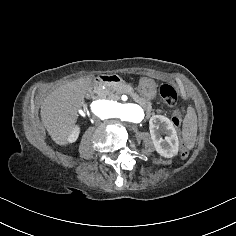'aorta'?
Returning <instances> with one entry per match:
<instances>
[{
    "label": "aorta",
    "instance_id": "1",
    "mask_svg": "<svg viewBox=\"0 0 236 236\" xmlns=\"http://www.w3.org/2000/svg\"><path fill=\"white\" fill-rule=\"evenodd\" d=\"M91 111L102 119L118 118L121 121L140 123L144 119V110L131 103H117L108 100H96L91 103Z\"/></svg>",
    "mask_w": 236,
    "mask_h": 236
}]
</instances>
